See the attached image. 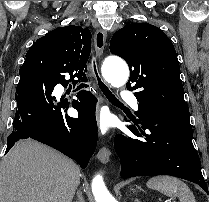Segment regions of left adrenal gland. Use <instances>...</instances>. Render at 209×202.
<instances>
[{
	"instance_id": "a2214340",
	"label": "left adrenal gland",
	"mask_w": 209,
	"mask_h": 202,
	"mask_svg": "<svg viewBox=\"0 0 209 202\" xmlns=\"http://www.w3.org/2000/svg\"><path fill=\"white\" fill-rule=\"evenodd\" d=\"M135 202H141L140 200L136 199Z\"/></svg>"
}]
</instances>
